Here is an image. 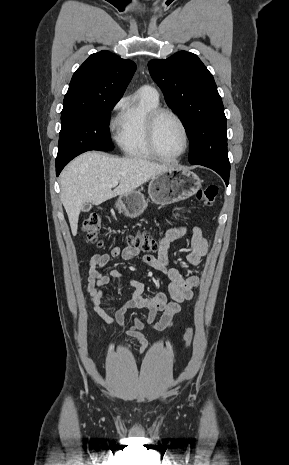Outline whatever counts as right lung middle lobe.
<instances>
[{"instance_id": "1", "label": "right lung middle lobe", "mask_w": 289, "mask_h": 465, "mask_svg": "<svg viewBox=\"0 0 289 465\" xmlns=\"http://www.w3.org/2000/svg\"><path fill=\"white\" fill-rule=\"evenodd\" d=\"M118 101L111 100L83 110L61 112L62 127L56 162L72 160L89 150H111L108 118Z\"/></svg>"}]
</instances>
